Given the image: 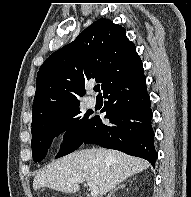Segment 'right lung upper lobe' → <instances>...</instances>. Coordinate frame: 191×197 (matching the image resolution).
<instances>
[{"mask_svg": "<svg viewBox=\"0 0 191 197\" xmlns=\"http://www.w3.org/2000/svg\"><path fill=\"white\" fill-rule=\"evenodd\" d=\"M142 65L125 29L106 18L87 27L70 44L54 52L37 74L32 127L79 105L88 80L104 90Z\"/></svg>", "mask_w": 191, "mask_h": 197, "instance_id": "cb5924a9", "label": "right lung upper lobe"}]
</instances>
